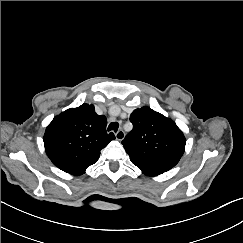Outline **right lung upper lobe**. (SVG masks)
I'll return each instance as SVG.
<instances>
[{
  "instance_id": "1",
  "label": "right lung upper lobe",
  "mask_w": 243,
  "mask_h": 243,
  "mask_svg": "<svg viewBox=\"0 0 243 243\" xmlns=\"http://www.w3.org/2000/svg\"><path fill=\"white\" fill-rule=\"evenodd\" d=\"M107 119L93 105L82 104L57 115L44 134L45 151L55 166L74 176L99 159L100 151L115 139L106 132Z\"/></svg>"
}]
</instances>
